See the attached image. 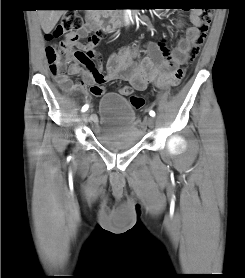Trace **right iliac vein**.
Here are the masks:
<instances>
[{
    "mask_svg": "<svg viewBox=\"0 0 245 278\" xmlns=\"http://www.w3.org/2000/svg\"><path fill=\"white\" fill-rule=\"evenodd\" d=\"M83 120H87L89 118V112H86L82 115Z\"/></svg>",
    "mask_w": 245,
    "mask_h": 278,
    "instance_id": "obj_1",
    "label": "right iliac vein"
}]
</instances>
